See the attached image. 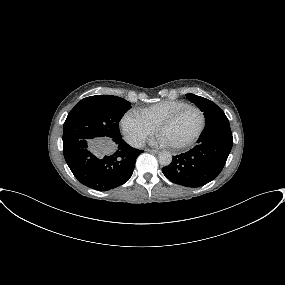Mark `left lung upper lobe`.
I'll return each instance as SVG.
<instances>
[{
    "mask_svg": "<svg viewBox=\"0 0 285 285\" xmlns=\"http://www.w3.org/2000/svg\"><path fill=\"white\" fill-rule=\"evenodd\" d=\"M187 98L204 112L206 124L215 120L227 119L224 112L212 101L194 94H187Z\"/></svg>",
    "mask_w": 285,
    "mask_h": 285,
    "instance_id": "obj_1",
    "label": "left lung upper lobe"
}]
</instances>
